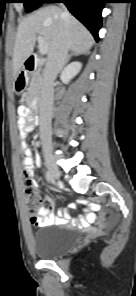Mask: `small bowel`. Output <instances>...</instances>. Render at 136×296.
I'll list each match as a JSON object with an SVG mask.
<instances>
[{
	"label": "small bowel",
	"instance_id": "1",
	"mask_svg": "<svg viewBox=\"0 0 136 296\" xmlns=\"http://www.w3.org/2000/svg\"><path fill=\"white\" fill-rule=\"evenodd\" d=\"M20 118L18 120V125L20 128V139L22 152L24 154L23 163L25 165V171L29 177L33 180L34 185L37 187L36 174L34 170V161L32 157V151L29 145L26 142L28 134L33 130L34 118L32 113L25 107H21ZM94 214L89 208H85L84 216L81 220L82 224H87L94 218ZM70 221V214L67 209H62L58 212L57 215L50 213L49 208L41 207L37 213V218L32 223L36 226H51V225H61L66 224ZM98 222L100 224L105 223V218L103 213H99Z\"/></svg>",
	"mask_w": 136,
	"mask_h": 296
}]
</instances>
